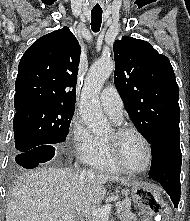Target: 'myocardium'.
I'll return each instance as SVG.
<instances>
[{"label":"myocardium","instance_id":"myocardium-1","mask_svg":"<svg viewBox=\"0 0 190 221\" xmlns=\"http://www.w3.org/2000/svg\"><path fill=\"white\" fill-rule=\"evenodd\" d=\"M114 135L111 139H105V144L108 149L109 155L112 159V161L115 163V165L122 171L130 175H142L149 171V169L152 166L153 162V149L152 145L149 141V139L146 137V135L140 131L138 128L134 126H128V125H122L117 126L113 129ZM126 133H134L137 136L141 138L143 143L146 146L147 149V162L144 168L140 170H132L129 169L122 161L119 148H118V140L121 136H123Z\"/></svg>","mask_w":190,"mask_h":221}]
</instances>
